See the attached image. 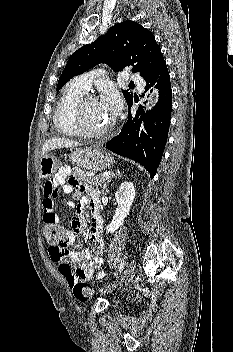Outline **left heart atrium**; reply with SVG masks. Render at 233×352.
<instances>
[{
	"instance_id": "left-heart-atrium-1",
	"label": "left heart atrium",
	"mask_w": 233,
	"mask_h": 352,
	"mask_svg": "<svg viewBox=\"0 0 233 352\" xmlns=\"http://www.w3.org/2000/svg\"><path fill=\"white\" fill-rule=\"evenodd\" d=\"M99 102L112 120L115 116H117L121 109V99L113 90H108Z\"/></svg>"
}]
</instances>
